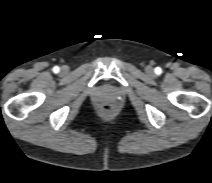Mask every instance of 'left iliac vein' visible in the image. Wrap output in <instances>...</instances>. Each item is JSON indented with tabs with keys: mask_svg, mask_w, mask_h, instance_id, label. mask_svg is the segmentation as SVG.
<instances>
[{
	"mask_svg": "<svg viewBox=\"0 0 212 183\" xmlns=\"http://www.w3.org/2000/svg\"><path fill=\"white\" fill-rule=\"evenodd\" d=\"M146 73H147L148 75H153V73H154L153 68H152V67H147V68H146Z\"/></svg>",
	"mask_w": 212,
	"mask_h": 183,
	"instance_id": "left-iliac-vein-1",
	"label": "left iliac vein"
}]
</instances>
